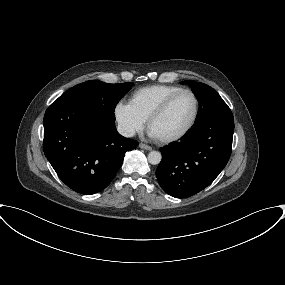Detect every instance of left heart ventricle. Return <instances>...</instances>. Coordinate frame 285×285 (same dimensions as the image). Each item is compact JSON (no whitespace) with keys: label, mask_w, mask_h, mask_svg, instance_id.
Masks as SVG:
<instances>
[{"label":"left heart ventricle","mask_w":285,"mask_h":285,"mask_svg":"<svg viewBox=\"0 0 285 285\" xmlns=\"http://www.w3.org/2000/svg\"><path fill=\"white\" fill-rule=\"evenodd\" d=\"M194 99L188 93L179 95L166 112L153 122L150 133L155 138H165L178 134L190 122L194 113Z\"/></svg>","instance_id":"b2bd125f"}]
</instances>
